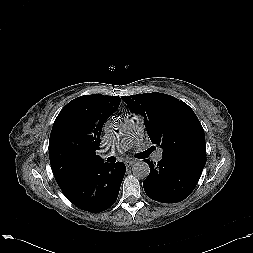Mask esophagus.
Returning a JSON list of instances; mask_svg holds the SVG:
<instances>
[{"label": "esophagus", "mask_w": 253, "mask_h": 253, "mask_svg": "<svg viewBox=\"0 0 253 253\" xmlns=\"http://www.w3.org/2000/svg\"><path fill=\"white\" fill-rule=\"evenodd\" d=\"M134 163H135V160H134V159H128V160L125 161V165H126L127 167L132 166Z\"/></svg>", "instance_id": "1"}]
</instances>
